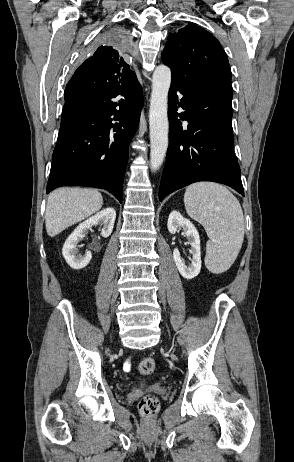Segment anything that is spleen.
Masks as SVG:
<instances>
[{"mask_svg": "<svg viewBox=\"0 0 294 462\" xmlns=\"http://www.w3.org/2000/svg\"><path fill=\"white\" fill-rule=\"evenodd\" d=\"M184 204L188 215L203 225L209 237L206 267L214 274L228 270L244 238V217L239 201L220 184L200 182L186 188Z\"/></svg>", "mask_w": 294, "mask_h": 462, "instance_id": "3e777b00", "label": "spleen"}]
</instances>
